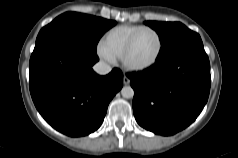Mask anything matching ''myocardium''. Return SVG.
<instances>
[{
    "instance_id": "1",
    "label": "myocardium",
    "mask_w": 238,
    "mask_h": 158,
    "mask_svg": "<svg viewBox=\"0 0 238 158\" xmlns=\"http://www.w3.org/2000/svg\"><path fill=\"white\" fill-rule=\"evenodd\" d=\"M144 31H151L153 32L157 39H158V51L155 55V57L147 64L144 65H132L129 63L128 61V56L138 38V36L143 33ZM163 51V39L161 34L154 28L152 27H148V26H144L142 28H140L139 30H137L129 39V41L127 42L122 55H121V62L123 64V66L129 70V71H133V72H139V71H145L150 69L151 67H153L159 60V58L161 57Z\"/></svg>"
}]
</instances>
